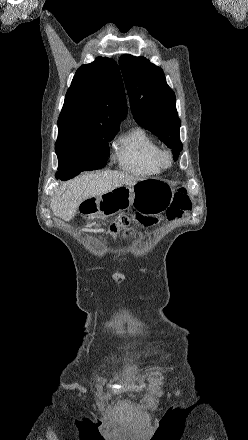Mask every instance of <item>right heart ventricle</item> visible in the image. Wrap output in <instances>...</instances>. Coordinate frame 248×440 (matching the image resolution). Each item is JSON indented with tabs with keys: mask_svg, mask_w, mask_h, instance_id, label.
I'll return each instance as SVG.
<instances>
[{
	"mask_svg": "<svg viewBox=\"0 0 248 440\" xmlns=\"http://www.w3.org/2000/svg\"><path fill=\"white\" fill-rule=\"evenodd\" d=\"M159 145L141 128H133L117 141L115 154L121 170L132 175L147 177L161 173L157 155Z\"/></svg>",
	"mask_w": 248,
	"mask_h": 440,
	"instance_id": "right-heart-ventricle-1",
	"label": "right heart ventricle"
}]
</instances>
